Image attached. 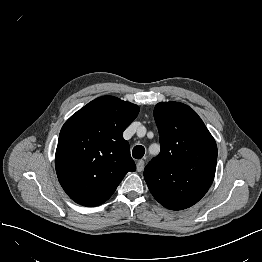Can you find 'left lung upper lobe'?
I'll list each match as a JSON object with an SVG mask.
<instances>
[{
	"label": "left lung upper lobe",
	"mask_w": 262,
	"mask_h": 262,
	"mask_svg": "<svg viewBox=\"0 0 262 262\" xmlns=\"http://www.w3.org/2000/svg\"><path fill=\"white\" fill-rule=\"evenodd\" d=\"M154 118L161 151L145 167L144 179L161 205L186 209L206 194L214 180L215 140L197 113L183 103H158Z\"/></svg>",
	"instance_id": "1"
}]
</instances>
